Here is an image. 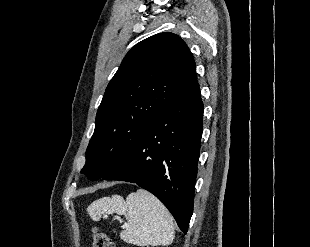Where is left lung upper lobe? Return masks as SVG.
Returning a JSON list of instances; mask_svg holds the SVG:
<instances>
[{"mask_svg":"<svg viewBox=\"0 0 310 247\" xmlns=\"http://www.w3.org/2000/svg\"><path fill=\"white\" fill-rule=\"evenodd\" d=\"M196 81L192 53L177 35L159 33L132 47L106 88L81 173L97 180L124 161Z\"/></svg>","mask_w":310,"mask_h":247,"instance_id":"obj_1","label":"left lung upper lobe"}]
</instances>
